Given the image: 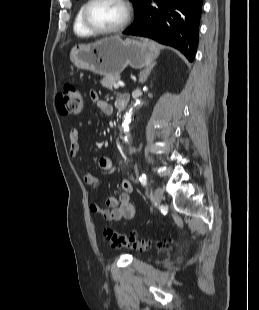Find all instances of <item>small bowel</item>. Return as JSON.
Here are the masks:
<instances>
[{"label":"small bowel","instance_id":"1","mask_svg":"<svg viewBox=\"0 0 259 310\" xmlns=\"http://www.w3.org/2000/svg\"><path fill=\"white\" fill-rule=\"evenodd\" d=\"M90 100L92 104L95 105L98 111L107 116L112 115L113 106L110 103L101 100L96 92H91ZM89 124L90 122H87L85 124H82L79 128H73L69 133V139L71 143L70 156L74 160L78 159L79 157L81 130L83 127H86ZM98 166L99 169L105 173L112 172L113 170V162L110 158L107 157L100 158L98 161ZM83 181L87 186H90L93 189H97L99 186L98 179L90 172H86L83 175ZM121 188L123 192L118 198L115 196L107 197L105 207L95 202L91 203V212L108 221L133 219L135 216V207L130 200V194L133 190L132 183L129 180L124 179L121 181Z\"/></svg>","mask_w":259,"mask_h":310}]
</instances>
